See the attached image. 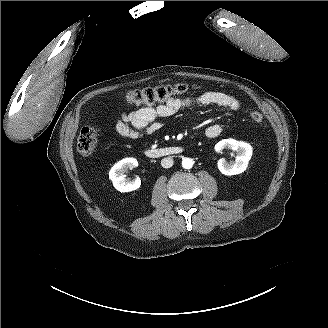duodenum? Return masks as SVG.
<instances>
[{
  "label": "duodenum",
  "mask_w": 328,
  "mask_h": 328,
  "mask_svg": "<svg viewBox=\"0 0 328 328\" xmlns=\"http://www.w3.org/2000/svg\"><path fill=\"white\" fill-rule=\"evenodd\" d=\"M183 151L181 147L170 146L163 148H150L145 151V155L149 158H162L178 155Z\"/></svg>",
  "instance_id": "obj_1"
}]
</instances>
